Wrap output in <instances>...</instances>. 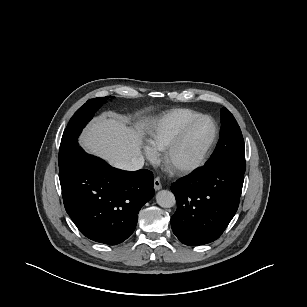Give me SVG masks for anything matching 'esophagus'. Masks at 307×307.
<instances>
[{"mask_svg": "<svg viewBox=\"0 0 307 307\" xmlns=\"http://www.w3.org/2000/svg\"><path fill=\"white\" fill-rule=\"evenodd\" d=\"M161 188H162V185H161L160 178L156 177L154 179V189L157 191V190H160Z\"/></svg>", "mask_w": 307, "mask_h": 307, "instance_id": "esophagus-1", "label": "esophagus"}]
</instances>
